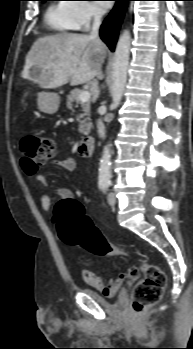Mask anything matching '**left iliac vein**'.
<instances>
[{
	"label": "left iliac vein",
	"instance_id": "left-iliac-vein-1",
	"mask_svg": "<svg viewBox=\"0 0 193 349\" xmlns=\"http://www.w3.org/2000/svg\"><path fill=\"white\" fill-rule=\"evenodd\" d=\"M108 203H109L110 205H115V203H116V196H115V194L112 193V192H110V193L108 194Z\"/></svg>",
	"mask_w": 193,
	"mask_h": 349
}]
</instances>
